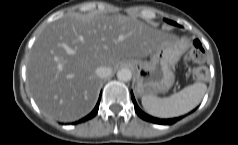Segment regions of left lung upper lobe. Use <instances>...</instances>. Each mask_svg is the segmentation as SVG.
<instances>
[{"instance_id":"5c2ea615","label":"left lung upper lobe","mask_w":238,"mask_h":145,"mask_svg":"<svg viewBox=\"0 0 238 145\" xmlns=\"http://www.w3.org/2000/svg\"><path fill=\"white\" fill-rule=\"evenodd\" d=\"M166 22L170 23V24H173V25H177V23L173 22V21H170L168 19H165Z\"/></svg>"}]
</instances>
